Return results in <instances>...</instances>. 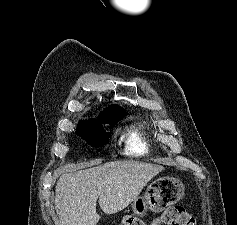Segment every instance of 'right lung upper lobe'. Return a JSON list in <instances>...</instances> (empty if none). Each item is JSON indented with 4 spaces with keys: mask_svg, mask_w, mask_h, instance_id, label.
I'll use <instances>...</instances> for the list:
<instances>
[{
    "mask_svg": "<svg viewBox=\"0 0 237 225\" xmlns=\"http://www.w3.org/2000/svg\"><path fill=\"white\" fill-rule=\"evenodd\" d=\"M105 113H110V114H113V115H116V116H121V115H125V110L123 108H120L118 106L113 105V106L109 107L108 109H106ZM89 121L90 120L82 121V122L79 123V125L85 124Z\"/></svg>",
    "mask_w": 237,
    "mask_h": 225,
    "instance_id": "1",
    "label": "right lung upper lobe"
}]
</instances>
